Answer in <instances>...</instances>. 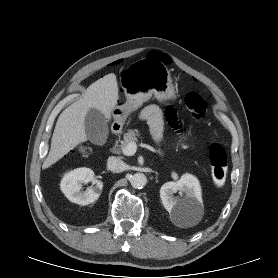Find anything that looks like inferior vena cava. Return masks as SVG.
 Here are the masks:
<instances>
[{
  "label": "inferior vena cava",
  "instance_id": "1",
  "mask_svg": "<svg viewBox=\"0 0 278 278\" xmlns=\"http://www.w3.org/2000/svg\"><path fill=\"white\" fill-rule=\"evenodd\" d=\"M108 168L116 173L122 172L126 169V164L119 158L111 156L107 160Z\"/></svg>",
  "mask_w": 278,
  "mask_h": 278
}]
</instances>
